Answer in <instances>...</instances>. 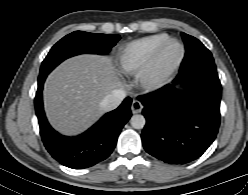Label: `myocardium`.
I'll use <instances>...</instances> for the list:
<instances>
[{"label":"myocardium","mask_w":248,"mask_h":195,"mask_svg":"<svg viewBox=\"0 0 248 195\" xmlns=\"http://www.w3.org/2000/svg\"><path fill=\"white\" fill-rule=\"evenodd\" d=\"M172 43L179 44L181 49L180 56L173 65L167 68H162V64H161L162 57L166 49ZM185 54H186L185 46L179 39L176 38L167 39L157 49L148 66L142 72H140L138 76V81L140 85L148 91H155L165 86L182 66L185 58Z\"/></svg>","instance_id":"obj_1"}]
</instances>
